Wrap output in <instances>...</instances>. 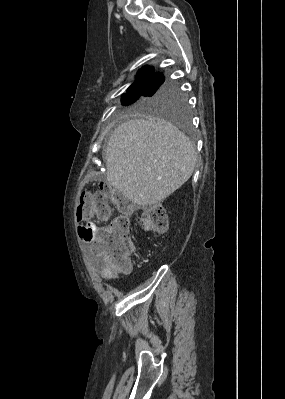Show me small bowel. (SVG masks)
<instances>
[{
    "mask_svg": "<svg viewBox=\"0 0 285 399\" xmlns=\"http://www.w3.org/2000/svg\"><path fill=\"white\" fill-rule=\"evenodd\" d=\"M91 228H94V226L93 225L91 227L86 226L87 230L91 229ZM104 263L105 264L102 267L103 277L106 279H110V278L114 277L118 273V271L111 265V263L107 259H104Z\"/></svg>",
    "mask_w": 285,
    "mask_h": 399,
    "instance_id": "c3829d8e",
    "label": "small bowel"
}]
</instances>
